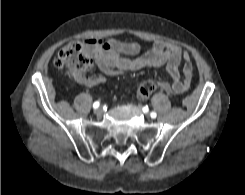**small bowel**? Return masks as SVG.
<instances>
[{
    "label": "small bowel",
    "instance_id": "c3829d8e",
    "mask_svg": "<svg viewBox=\"0 0 245 195\" xmlns=\"http://www.w3.org/2000/svg\"><path fill=\"white\" fill-rule=\"evenodd\" d=\"M88 55L108 76L136 71L145 67L165 68L171 76V83L161 82L160 87L169 94H182L191 85L193 65L190 55L177 45L156 41L151 48L139 55L141 47L137 42L122 43L115 39L85 41ZM183 62L182 74L179 66ZM103 75L83 78L80 81L87 86L96 87L104 82Z\"/></svg>",
    "mask_w": 245,
    "mask_h": 195
}]
</instances>
